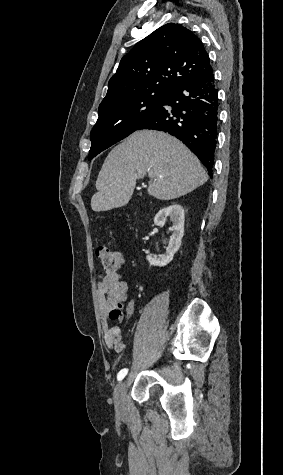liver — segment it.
Returning <instances> with one entry per match:
<instances>
[{"label": "liver", "mask_w": 283, "mask_h": 475, "mask_svg": "<svg viewBox=\"0 0 283 475\" xmlns=\"http://www.w3.org/2000/svg\"><path fill=\"white\" fill-rule=\"evenodd\" d=\"M149 174L147 190L157 200H175L203 186L208 176L200 160L177 138L139 130L108 154L92 196L93 212H108L126 206L132 198L136 180Z\"/></svg>", "instance_id": "obj_1"}]
</instances>
